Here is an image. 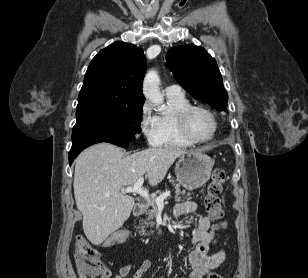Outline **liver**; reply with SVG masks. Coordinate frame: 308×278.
<instances>
[{
	"instance_id": "obj_1",
	"label": "liver",
	"mask_w": 308,
	"mask_h": 278,
	"mask_svg": "<svg viewBox=\"0 0 308 278\" xmlns=\"http://www.w3.org/2000/svg\"><path fill=\"white\" fill-rule=\"evenodd\" d=\"M186 153L181 148H148L124 156L121 148L105 142L85 149L75 160L73 187L87 239L99 245L129 218L134 200L120 191L123 187L144 174L156 186Z\"/></svg>"
}]
</instances>
